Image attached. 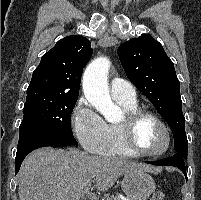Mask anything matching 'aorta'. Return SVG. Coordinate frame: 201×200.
<instances>
[{
  "instance_id": "obj_1",
  "label": "aorta",
  "mask_w": 201,
  "mask_h": 200,
  "mask_svg": "<svg viewBox=\"0 0 201 200\" xmlns=\"http://www.w3.org/2000/svg\"><path fill=\"white\" fill-rule=\"evenodd\" d=\"M110 65L107 57L96 58L85 69L82 81L86 99L108 121H112L119 114V108L113 103L108 90Z\"/></svg>"
}]
</instances>
